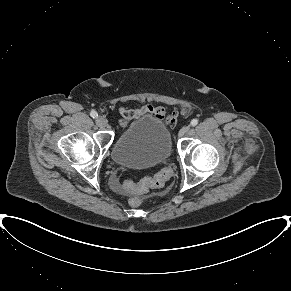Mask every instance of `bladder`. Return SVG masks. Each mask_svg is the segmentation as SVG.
<instances>
[{"mask_svg":"<svg viewBox=\"0 0 291 291\" xmlns=\"http://www.w3.org/2000/svg\"><path fill=\"white\" fill-rule=\"evenodd\" d=\"M172 154L171 135L158 118L145 115L133 121L117 137L111 158L119 166L145 169L167 161Z\"/></svg>","mask_w":291,"mask_h":291,"instance_id":"1","label":"bladder"}]
</instances>
